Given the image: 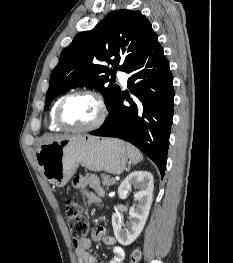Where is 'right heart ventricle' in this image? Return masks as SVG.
<instances>
[{"label":"right heart ventricle","mask_w":233,"mask_h":263,"mask_svg":"<svg viewBox=\"0 0 233 263\" xmlns=\"http://www.w3.org/2000/svg\"><path fill=\"white\" fill-rule=\"evenodd\" d=\"M63 98L60 97L58 98L52 105L51 109H50V112H49V128L52 130V131H61L62 128L56 123V120H55V115H56V109H57V106L60 102V100Z\"/></svg>","instance_id":"e07e8e85"}]
</instances>
